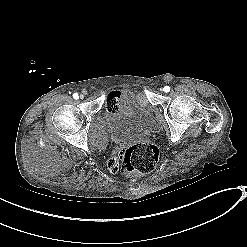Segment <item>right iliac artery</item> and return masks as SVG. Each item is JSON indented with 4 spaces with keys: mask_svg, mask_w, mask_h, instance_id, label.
<instances>
[{
    "mask_svg": "<svg viewBox=\"0 0 247 247\" xmlns=\"http://www.w3.org/2000/svg\"><path fill=\"white\" fill-rule=\"evenodd\" d=\"M78 97H79V96H78L77 93H74V94H73V98L77 99Z\"/></svg>",
    "mask_w": 247,
    "mask_h": 247,
    "instance_id": "obj_1",
    "label": "right iliac artery"
}]
</instances>
